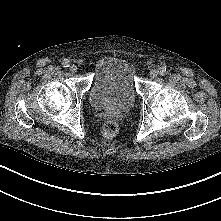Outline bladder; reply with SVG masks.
Here are the masks:
<instances>
[{
	"label": "bladder",
	"instance_id": "31cf9c89",
	"mask_svg": "<svg viewBox=\"0 0 221 221\" xmlns=\"http://www.w3.org/2000/svg\"><path fill=\"white\" fill-rule=\"evenodd\" d=\"M137 69L128 58L106 55L99 59L89 101L96 109H129L137 99L135 77Z\"/></svg>",
	"mask_w": 221,
	"mask_h": 221
}]
</instances>
